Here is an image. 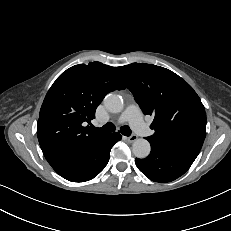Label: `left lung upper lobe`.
<instances>
[{
	"instance_id": "obj_1",
	"label": "left lung upper lobe",
	"mask_w": 231,
	"mask_h": 231,
	"mask_svg": "<svg viewBox=\"0 0 231 231\" xmlns=\"http://www.w3.org/2000/svg\"><path fill=\"white\" fill-rule=\"evenodd\" d=\"M118 73L145 115L154 116L152 142L201 149L206 136L205 108L193 88L174 72L152 64L132 63Z\"/></svg>"
}]
</instances>
